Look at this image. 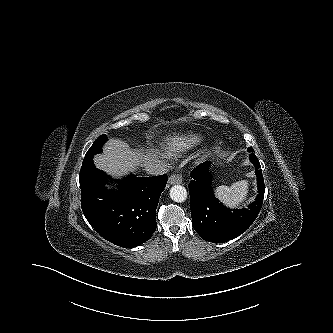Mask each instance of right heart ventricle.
<instances>
[{
	"label": "right heart ventricle",
	"instance_id": "obj_1",
	"mask_svg": "<svg viewBox=\"0 0 333 333\" xmlns=\"http://www.w3.org/2000/svg\"><path fill=\"white\" fill-rule=\"evenodd\" d=\"M197 142L198 139L193 136H182V137L173 138L169 142L166 151L170 155L181 153L192 147Z\"/></svg>",
	"mask_w": 333,
	"mask_h": 333
}]
</instances>
